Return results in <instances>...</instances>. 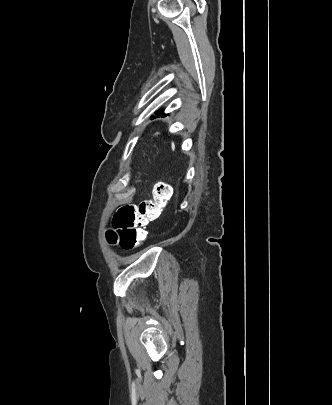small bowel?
Listing matches in <instances>:
<instances>
[{
	"label": "small bowel",
	"mask_w": 332,
	"mask_h": 405,
	"mask_svg": "<svg viewBox=\"0 0 332 405\" xmlns=\"http://www.w3.org/2000/svg\"><path fill=\"white\" fill-rule=\"evenodd\" d=\"M117 238V237H116ZM117 242H120L119 238L116 239Z\"/></svg>",
	"instance_id": "1"
}]
</instances>
